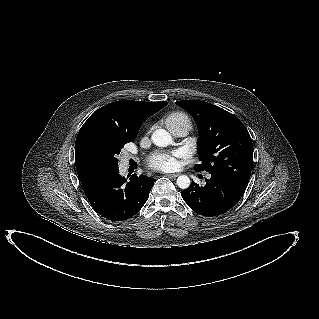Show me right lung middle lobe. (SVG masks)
<instances>
[{"label":"right lung middle lobe","instance_id":"right-lung-middle-lobe-1","mask_svg":"<svg viewBox=\"0 0 319 319\" xmlns=\"http://www.w3.org/2000/svg\"><path fill=\"white\" fill-rule=\"evenodd\" d=\"M128 143L118 139L92 135L82 143L84 155L91 161L101 164L107 171L118 168L116 156L123 146Z\"/></svg>","mask_w":319,"mask_h":319}]
</instances>
